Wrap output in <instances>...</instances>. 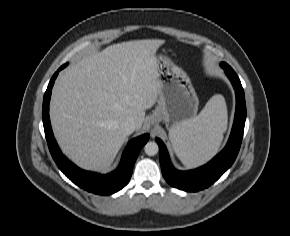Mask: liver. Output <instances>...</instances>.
Wrapping results in <instances>:
<instances>
[{"mask_svg": "<svg viewBox=\"0 0 290 236\" xmlns=\"http://www.w3.org/2000/svg\"><path fill=\"white\" fill-rule=\"evenodd\" d=\"M159 39L113 44L83 57L56 81L50 102L53 132L63 153L85 170L105 171L126 140L121 124L158 100Z\"/></svg>", "mask_w": 290, "mask_h": 236, "instance_id": "1", "label": "liver"}]
</instances>
